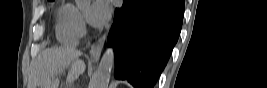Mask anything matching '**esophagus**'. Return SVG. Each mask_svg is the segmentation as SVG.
Masks as SVG:
<instances>
[{
	"mask_svg": "<svg viewBox=\"0 0 267 88\" xmlns=\"http://www.w3.org/2000/svg\"><path fill=\"white\" fill-rule=\"evenodd\" d=\"M106 40V34H104L97 42H95L90 50V61L97 62L100 58L104 43Z\"/></svg>",
	"mask_w": 267,
	"mask_h": 88,
	"instance_id": "1",
	"label": "esophagus"
}]
</instances>
